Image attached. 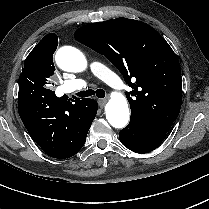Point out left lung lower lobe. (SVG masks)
Instances as JSON below:
<instances>
[{
  "mask_svg": "<svg viewBox=\"0 0 209 209\" xmlns=\"http://www.w3.org/2000/svg\"><path fill=\"white\" fill-rule=\"evenodd\" d=\"M165 137V132L156 130L136 117H131L129 124L119 133L121 143L136 153H148L156 149Z\"/></svg>",
  "mask_w": 209,
  "mask_h": 209,
  "instance_id": "obj_1",
  "label": "left lung lower lobe"
}]
</instances>
